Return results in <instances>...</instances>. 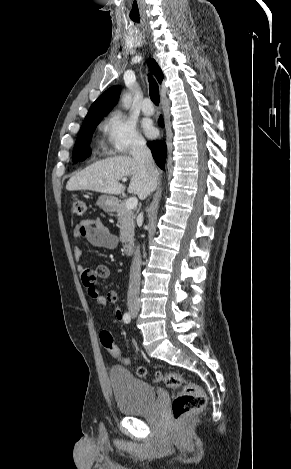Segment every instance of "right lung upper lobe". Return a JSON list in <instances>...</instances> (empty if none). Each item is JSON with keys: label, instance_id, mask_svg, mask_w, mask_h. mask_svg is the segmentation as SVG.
I'll return each mask as SVG.
<instances>
[{"label": "right lung upper lobe", "instance_id": "obj_1", "mask_svg": "<svg viewBox=\"0 0 291 469\" xmlns=\"http://www.w3.org/2000/svg\"><path fill=\"white\" fill-rule=\"evenodd\" d=\"M153 73L155 74L159 83L163 79V73L155 60L148 61ZM120 95V87L112 86L106 90L90 107L85 119L102 118L107 115L111 109L117 104ZM84 119V120H85Z\"/></svg>", "mask_w": 291, "mask_h": 469}]
</instances>
